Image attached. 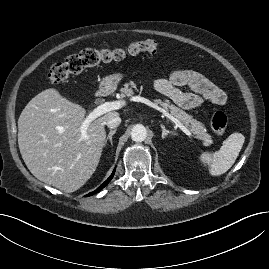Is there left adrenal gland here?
<instances>
[{
	"mask_svg": "<svg viewBox=\"0 0 269 269\" xmlns=\"http://www.w3.org/2000/svg\"><path fill=\"white\" fill-rule=\"evenodd\" d=\"M160 126L162 128V138L163 139L169 134L174 135V132L167 130L163 124H160Z\"/></svg>",
	"mask_w": 269,
	"mask_h": 269,
	"instance_id": "a2214340",
	"label": "left adrenal gland"
}]
</instances>
